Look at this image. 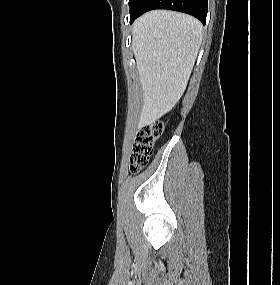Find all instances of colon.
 I'll return each instance as SVG.
<instances>
[{
  "instance_id": "colon-1",
  "label": "colon",
  "mask_w": 280,
  "mask_h": 285,
  "mask_svg": "<svg viewBox=\"0 0 280 285\" xmlns=\"http://www.w3.org/2000/svg\"><path fill=\"white\" fill-rule=\"evenodd\" d=\"M162 132L163 126L158 122L144 125L140 129L130 155L132 172H138L148 164L153 148Z\"/></svg>"
}]
</instances>
